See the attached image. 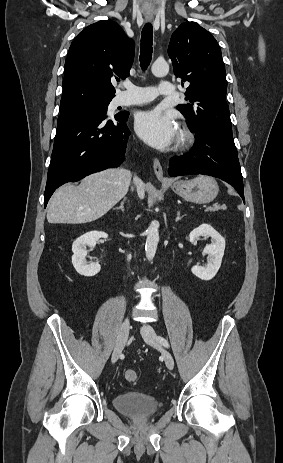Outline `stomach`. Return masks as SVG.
I'll list each match as a JSON object with an SVG mask.
<instances>
[{"label":"stomach","mask_w":283,"mask_h":463,"mask_svg":"<svg viewBox=\"0 0 283 463\" xmlns=\"http://www.w3.org/2000/svg\"><path fill=\"white\" fill-rule=\"evenodd\" d=\"M171 189L180 197L194 203H209L217 196L219 186L209 176H198L191 180H177L170 183Z\"/></svg>","instance_id":"obj_1"}]
</instances>
